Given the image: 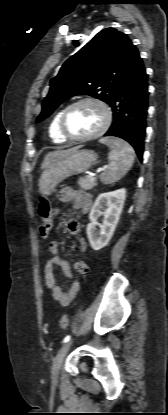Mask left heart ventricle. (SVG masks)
I'll list each match as a JSON object with an SVG mask.
<instances>
[{"label":"left heart ventricle","mask_w":168,"mask_h":415,"mask_svg":"<svg viewBox=\"0 0 168 415\" xmlns=\"http://www.w3.org/2000/svg\"><path fill=\"white\" fill-rule=\"evenodd\" d=\"M104 114L94 103H82L72 108L66 118V128L74 136H86L102 125Z\"/></svg>","instance_id":"obj_1"}]
</instances>
